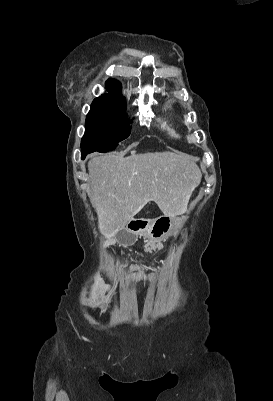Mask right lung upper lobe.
Here are the masks:
<instances>
[{"mask_svg": "<svg viewBox=\"0 0 273 401\" xmlns=\"http://www.w3.org/2000/svg\"><path fill=\"white\" fill-rule=\"evenodd\" d=\"M108 94L95 98L94 103L126 107V100L121 94V84L115 79H108L106 82Z\"/></svg>", "mask_w": 273, "mask_h": 401, "instance_id": "right-lung-upper-lobe-1", "label": "right lung upper lobe"}]
</instances>
